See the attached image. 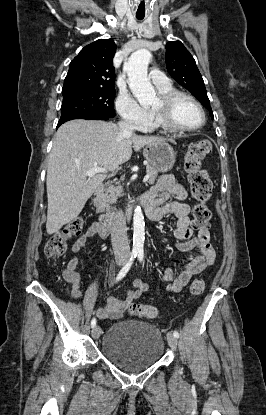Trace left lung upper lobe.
<instances>
[{
  "instance_id": "left-lung-upper-lobe-1",
  "label": "left lung upper lobe",
  "mask_w": 266,
  "mask_h": 415,
  "mask_svg": "<svg viewBox=\"0 0 266 415\" xmlns=\"http://www.w3.org/2000/svg\"><path fill=\"white\" fill-rule=\"evenodd\" d=\"M166 67L169 74L190 91L209 110L211 118L214 119L202 76L193 56L181 41H170L166 44Z\"/></svg>"
}]
</instances>
